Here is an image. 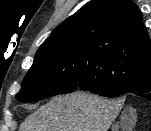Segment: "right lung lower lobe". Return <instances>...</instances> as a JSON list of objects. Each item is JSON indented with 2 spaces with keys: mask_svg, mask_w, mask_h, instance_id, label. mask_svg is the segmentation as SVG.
I'll return each mask as SVG.
<instances>
[{
  "mask_svg": "<svg viewBox=\"0 0 151 131\" xmlns=\"http://www.w3.org/2000/svg\"><path fill=\"white\" fill-rule=\"evenodd\" d=\"M82 90L89 91L100 96L109 98L119 97L127 93H133L151 101V82L147 84H137L132 86H110V85H95L94 83L85 81L79 83V87Z\"/></svg>",
  "mask_w": 151,
  "mask_h": 131,
  "instance_id": "98d812e1",
  "label": "right lung lower lobe"
}]
</instances>
